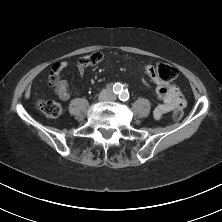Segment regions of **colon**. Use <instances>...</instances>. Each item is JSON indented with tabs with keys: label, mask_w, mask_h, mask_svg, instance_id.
<instances>
[{
	"label": "colon",
	"mask_w": 222,
	"mask_h": 222,
	"mask_svg": "<svg viewBox=\"0 0 222 222\" xmlns=\"http://www.w3.org/2000/svg\"><path fill=\"white\" fill-rule=\"evenodd\" d=\"M103 58L104 55L101 51H93L89 54L82 56L79 60V63L83 67H92L98 65L103 60ZM151 66H153L155 70L162 75L163 80L167 83L174 81L177 77V70L172 65L166 63H158L156 65ZM56 69L57 65L54 66L53 73L50 76L51 84L59 83L58 75L55 72ZM38 106L47 118H57L62 113V106L57 101L41 99L38 102ZM182 116L183 111L181 107L175 109L172 113V119L175 121H179Z\"/></svg>",
	"instance_id": "obj_1"
}]
</instances>
